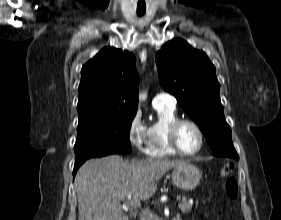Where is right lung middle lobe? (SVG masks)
Here are the masks:
<instances>
[{
  "label": "right lung middle lobe",
  "instance_id": "obj_1",
  "mask_svg": "<svg viewBox=\"0 0 281 220\" xmlns=\"http://www.w3.org/2000/svg\"><path fill=\"white\" fill-rule=\"evenodd\" d=\"M134 116L135 113L79 118L74 146L75 162L109 154L130 153L129 131Z\"/></svg>",
  "mask_w": 281,
  "mask_h": 220
}]
</instances>
